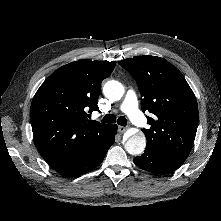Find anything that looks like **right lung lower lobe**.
I'll return each mask as SVG.
<instances>
[{
    "label": "right lung lower lobe",
    "mask_w": 221,
    "mask_h": 221,
    "mask_svg": "<svg viewBox=\"0 0 221 221\" xmlns=\"http://www.w3.org/2000/svg\"><path fill=\"white\" fill-rule=\"evenodd\" d=\"M117 132V125H110L108 134L103 145L91 155L73 162L61 169H56L58 173L64 176H78L90 172L96 168L104 159L108 149L114 143V137Z\"/></svg>",
    "instance_id": "obj_1"
}]
</instances>
